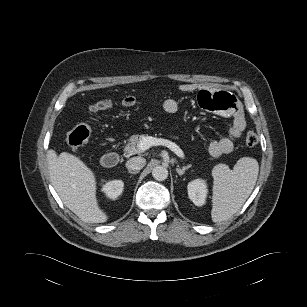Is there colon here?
Segmentation results:
<instances>
[{
	"label": "colon",
	"instance_id": "5ec220e1",
	"mask_svg": "<svg viewBox=\"0 0 307 307\" xmlns=\"http://www.w3.org/2000/svg\"><path fill=\"white\" fill-rule=\"evenodd\" d=\"M135 103L133 97H127L122 100L124 106H131ZM112 105L110 100L104 99L97 101L91 105L90 109L92 111H99L109 108ZM90 138L89 128L85 125H79L71 130L67 136V142L69 146L73 149H79L87 144ZM258 135L254 131H249L246 134L245 142L249 147H254L258 143Z\"/></svg>",
	"mask_w": 307,
	"mask_h": 307
}]
</instances>
